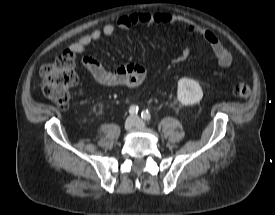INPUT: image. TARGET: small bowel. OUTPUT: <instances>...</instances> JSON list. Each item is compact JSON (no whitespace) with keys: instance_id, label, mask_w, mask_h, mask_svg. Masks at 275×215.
Segmentation results:
<instances>
[{"instance_id":"obj_1","label":"small bowel","mask_w":275,"mask_h":215,"mask_svg":"<svg viewBox=\"0 0 275 215\" xmlns=\"http://www.w3.org/2000/svg\"><path fill=\"white\" fill-rule=\"evenodd\" d=\"M177 24H184L189 34L202 37L208 44L211 53L221 68L228 69L231 66V54L223 47L212 31L171 12L134 13L122 16L115 24H105L103 27L96 28L82 36L78 41L71 44L70 50L76 54L83 53L91 43L99 40L103 36L112 35L116 29L126 30L138 25L155 26ZM187 55L188 54L184 52L178 60L183 61L187 58ZM81 64L91 73L99 84L104 86L136 87L143 83L147 76L146 68L139 63L122 65L116 70L110 71L95 58L84 56L81 59Z\"/></svg>"}]
</instances>
